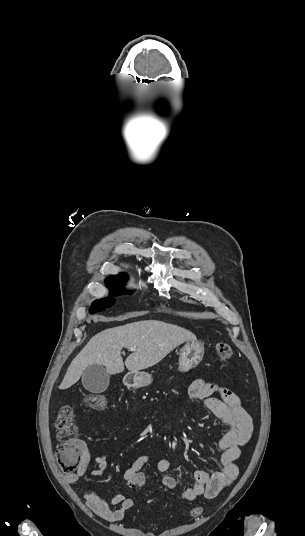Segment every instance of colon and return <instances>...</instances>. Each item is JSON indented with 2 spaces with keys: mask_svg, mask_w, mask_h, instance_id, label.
<instances>
[{
  "mask_svg": "<svg viewBox=\"0 0 305 536\" xmlns=\"http://www.w3.org/2000/svg\"><path fill=\"white\" fill-rule=\"evenodd\" d=\"M214 354L221 362L227 361L231 357L230 345L224 341L216 342L214 345ZM84 403L89 408L100 411L106 408L107 399L102 394L90 393L84 397ZM55 428L56 435L59 439L68 436L65 443H58L56 446L57 460L60 462L61 471H77L79 468L77 460L78 454L81 451V443L77 436L71 435L77 430L75 412L71 406L65 405L60 409L57 414ZM144 480L145 477L143 474H136L130 484L131 489L134 491L143 489L145 487ZM201 515L202 510L200 509H191L189 511L191 518Z\"/></svg>",
  "mask_w": 305,
  "mask_h": 536,
  "instance_id": "1",
  "label": "colon"
}]
</instances>
